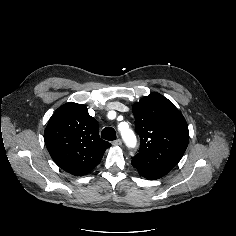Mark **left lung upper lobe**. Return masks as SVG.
I'll return each mask as SVG.
<instances>
[{
    "label": "left lung upper lobe",
    "instance_id": "left-lung-upper-lobe-1",
    "mask_svg": "<svg viewBox=\"0 0 236 236\" xmlns=\"http://www.w3.org/2000/svg\"><path fill=\"white\" fill-rule=\"evenodd\" d=\"M139 153L132 165L140 175L154 180L172 170L181 160L189 141L186 120L164 96L151 93L133 105Z\"/></svg>",
    "mask_w": 236,
    "mask_h": 236
}]
</instances>
